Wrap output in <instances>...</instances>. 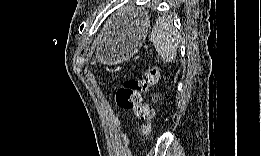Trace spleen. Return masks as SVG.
Masks as SVG:
<instances>
[{
    "label": "spleen",
    "mask_w": 261,
    "mask_h": 156,
    "mask_svg": "<svg viewBox=\"0 0 261 156\" xmlns=\"http://www.w3.org/2000/svg\"><path fill=\"white\" fill-rule=\"evenodd\" d=\"M150 41L165 61L171 62L177 55V34L165 17H160L153 27Z\"/></svg>",
    "instance_id": "3e777b00"
}]
</instances>
